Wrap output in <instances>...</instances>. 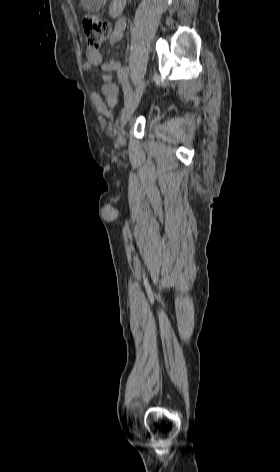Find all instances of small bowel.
<instances>
[{"label": "small bowel", "instance_id": "obj_1", "mask_svg": "<svg viewBox=\"0 0 280 472\" xmlns=\"http://www.w3.org/2000/svg\"><path fill=\"white\" fill-rule=\"evenodd\" d=\"M123 30L124 23H117L111 34L109 43L114 44L118 42L123 35ZM82 67L85 72L91 71L94 67H100L104 71L102 75L101 91H92L91 101L98 112L109 116L111 109L117 104L120 94V87L112 82V73L121 70L120 63L114 60L104 62L101 53L95 51L88 54L87 60L83 63Z\"/></svg>", "mask_w": 280, "mask_h": 472}]
</instances>
